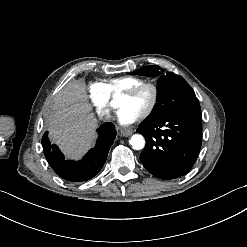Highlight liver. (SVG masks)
<instances>
[{
  "mask_svg": "<svg viewBox=\"0 0 247 247\" xmlns=\"http://www.w3.org/2000/svg\"><path fill=\"white\" fill-rule=\"evenodd\" d=\"M87 86L70 81L59 91L46 118L48 138L66 160L79 161L94 148L98 139V119L89 104Z\"/></svg>",
  "mask_w": 247,
  "mask_h": 247,
  "instance_id": "6515ba94",
  "label": "liver"
}]
</instances>
